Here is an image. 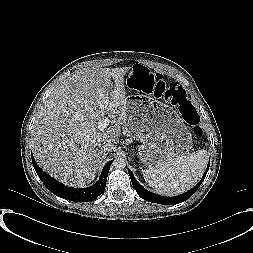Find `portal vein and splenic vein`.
<instances>
[{"instance_id": "portal-vein-and-splenic-vein-1", "label": "portal vein and splenic vein", "mask_w": 253, "mask_h": 253, "mask_svg": "<svg viewBox=\"0 0 253 253\" xmlns=\"http://www.w3.org/2000/svg\"><path fill=\"white\" fill-rule=\"evenodd\" d=\"M110 123V119L109 118H103V119H100L98 122H97V128L98 130L100 131H103L107 128V126L109 125Z\"/></svg>"}]
</instances>
